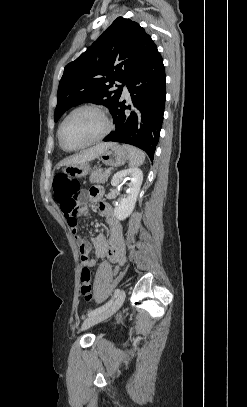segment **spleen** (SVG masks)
<instances>
[{
    "label": "spleen",
    "instance_id": "obj_1",
    "mask_svg": "<svg viewBox=\"0 0 247 407\" xmlns=\"http://www.w3.org/2000/svg\"><path fill=\"white\" fill-rule=\"evenodd\" d=\"M129 153V166L138 167L142 165L145 161V154L140 149L130 145L123 146Z\"/></svg>",
    "mask_w": 247,
    "mask_h": 407
}]
</instances>
